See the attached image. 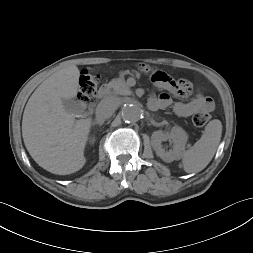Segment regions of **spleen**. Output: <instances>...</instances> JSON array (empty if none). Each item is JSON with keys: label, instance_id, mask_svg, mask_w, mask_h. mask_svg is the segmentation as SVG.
I'll use <instances>...</instances> for the list:
<instances>
[{"label": "spleen", "instance_id": "3e777b00", "mask_svg": "<svg viewBox=\"0 0 253 253\" xmlns=\"http://www.w3.org/2000/svg\"><path fill=\"white\" fill-rule=\"evenodd\" d=\"M221 135V121L217 119L210 121L201 138L183 153L182 163L185 172H200L210 163L220 143Z\"/></svg>", "mask_w": 253, "mask_h": 253}]
</instances>
